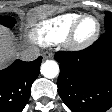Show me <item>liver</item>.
<instances>
[{
  "label": "liver",
  "mask_w": 112,
  "mask_h": 112,
  "mask_svg": "<svg viewBox=\"0 0 112 112\" xmlns=\"http://www.w3.org/2000/svg\"><path fill=\"white\" fill-rule=\"evenodd\" d=\"M47 9L44 6L39 7L36 12L40 16H44L47 14ZM16 56H18V51L12 33L6 27L0 25V69Z\"/></svg>",
  "instance_id": "1"
}]
</instances>
